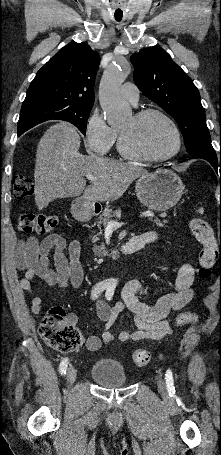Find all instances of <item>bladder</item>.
I'll list each match as a JSON object with an SVG mask.
<instances>
[{
  "mask_svg": "<svg viewBox=\"0 0 221 455\" xmlns=\"http://www.w3.org/2000/svg\"><path fill=\"white\" fill-rule=\"evenodd\" d=\"M91 377L100 385L121 387L127 382L125 370L121 364L99 360L90 369Z\"/></svg>",
  "mask_w": 221,
  "mask_h": 455,
  "instance_id": "bladder-1",
  "label": "bladder"
}]
</instances>
